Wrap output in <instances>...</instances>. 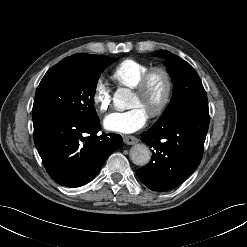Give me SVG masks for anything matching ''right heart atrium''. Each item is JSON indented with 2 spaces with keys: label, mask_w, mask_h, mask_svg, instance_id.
<instances>
[{
  "label": "right heart atrium",
  "mask_w": 247,
  "mask_h": 247,
  "mask_svg": "<svg viewBox=\"0 0 247 247\" xmlns=\"http://www.w3.org/2000/svg\"><path fill=\"white\" fill-rule=\"evenodd\" d=\"M93 103L99 112L105 113L112 103L111 89L101 79L97 80L93 88Z\"/></svg>",
  "instance_id": "right-heart-atrium-1"
}]
</instances>
